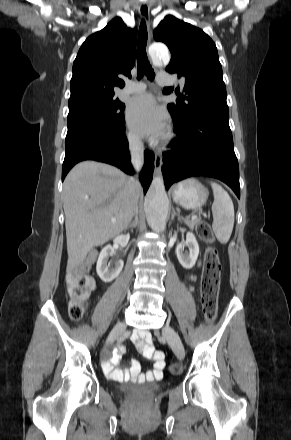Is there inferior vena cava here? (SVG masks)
I'll return each mask as SVG.
<instances>
[{"instance_id": "1", "label": "inferior vena cava", "mask_w": 291, "mask_h": 440, "mask_svg": "<svg viewBox=\"0 0 291 440\" xmlns=\"http://www.w3.org/2000/svg\"><path fill=\"white\" fill-rule=\"evenodd\" d=\"M130 154H131V163L134 169L138 172L141 170L144 163V154H143V143L138 138H133L130 140ZM138 186V182L136 181Z\"/></svg>"}]
</instances>
